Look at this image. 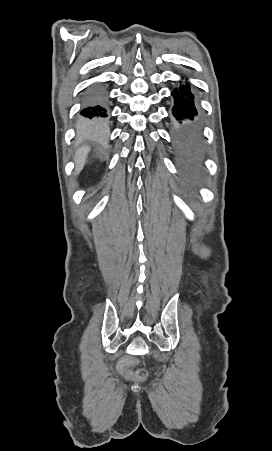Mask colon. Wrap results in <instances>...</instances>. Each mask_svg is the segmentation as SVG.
Instances as JSON below:
<instances>
[{
  "label": "colon",
  "instance_id": "1",
  "mask_svg": "<svg viewBox=\"0 0 272 451\" xmlns=\"http://www.w3.org/2000/svg\"><path fill=\"white\" fill-rule=\"evenodd\" d=\"M130 365H131L130 358H118L117 359V366H118L119 374H129ZM136 375H137V377H143L145 375V372L139 371L136 373Z\"/></svg>",
  "mask_w": 272,
  "mask_h": 451
}]
</instances>
